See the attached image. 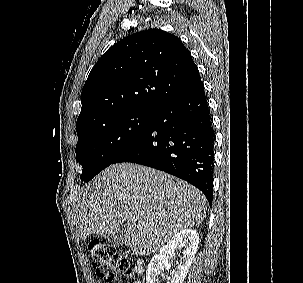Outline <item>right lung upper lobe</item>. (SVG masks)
Segmentation results:
<instances>
[{
	"mask_svg": "<svg viewBox=\"0 0 303 283\" xmlns=\"http://www.w3.org/2000/svg\"><path fill=\"white\" fill-rule=\"evenodd\" d=\"M200 81L178 37L160 29L137 32L114 44L92 68L76 130L129 111H154Z\"/></svg>",
	"mask_w": 303,
	"mask_h": 283,
	"instance_id": "obj_1",
	"label": "right lung upper lobe"
}]
</instances>
